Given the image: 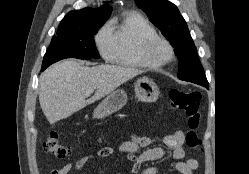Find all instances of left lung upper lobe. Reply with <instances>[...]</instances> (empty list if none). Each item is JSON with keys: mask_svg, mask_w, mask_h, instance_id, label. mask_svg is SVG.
<instances>
[{"mask_svg": "<svg viewBox=\"0 0 249 174\" xmlns=\"http://www.w3.org/2000/svg\"><path fill=\"white\" fill-rule=\"evenodd\" d=\"M135 2L174 47L179 60L178 78L185 81L206 79L197 49L178 8L167 0H135Z\"/></svg>", "mask_w": 249, "mask_h": 174, "instance_id": "1", "label": "left lung upper lobe"}]
</instances>
